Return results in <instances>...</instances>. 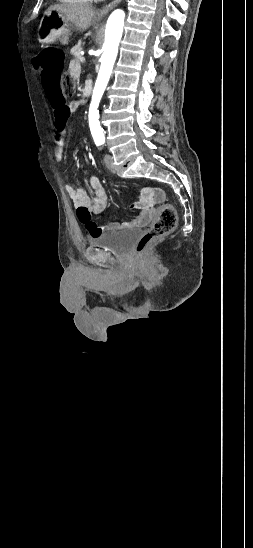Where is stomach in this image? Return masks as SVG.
I'll use <instances>...</instances> for the list:
<instances>
[{
  "label": "stomach",
  "instance_id": "0dacf381",
  "mask_svg": "<svg viewBox=\"0 0 253 548\" xmlns=\"http://www.w3.org/2000/svg\"><path fill=\"white\" fill-rule=\"evenodd\" d=\"M70 31L67 28V20L59 13L45 11L38 28V41L42 47H48L57 42L68 44Z\"/></svg>",
  "mask_w": 253,
  "mask_h": 548
}]
</instances>
